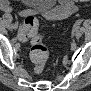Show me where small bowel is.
<instances>
[{"mask_svg":"<svg viewBox=\"0 0 91 91\" xmlns=\"http://www.w3.org/2000/svg\"><path fill=\"white\" fill-rule=\"evenodd\" d=\"M1 8L6 12H10L11 10L6 2L2 4ZM77 10L78 7L73 1L63 2L56 7H53L52 3L48 1H37L32 4V8L25 10L23 14L41 13L46 17L66 18L74 14Z\"/></svg>","mask_w":91,"mask_h":91,"instance_id":"1","label":"small bowel"}]
</instances>
